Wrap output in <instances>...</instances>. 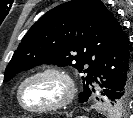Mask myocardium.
<instances>
[{"mask_svg": "<svg viewBox=\"0 0 133 118\" xmlns=\"http://www.w3.org/2000/svg\"><path fill=\"white\" fill-rule=\"evenodd\" d=\"M38 76H53L59 79L63 84L64 94L57 102H54L46 106L30 108L24 104L22 98V92L25 85L31 79L36 78ZM75 95H76V84L72 75L66 69L59 66H46L31 71L21 80L17 89V100L19 105L22 107L23 110L30 113H48L62 109L73 101Z\"/></svg>", "mask_w": 133, "mask_h": 118, "instance_id": "f54148a6", "label": "myocardium"}]
</instances>
